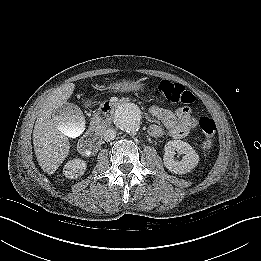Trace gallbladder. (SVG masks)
I'll list each match as a JSON object with an SVG mask.
<instances>
[{
  "mask_svg": "<svg viewBox=\"0 0 261 261\" xmlns=\"http://www.w3.org/2000/svg\"><path fill=\"white\" fill-rule=\"evenodd\" d=\"M55 127L70 138L78 137L85 129L83 112L75 105L63 103L53 114Z\"/></svg>",
  "mask_w": 261,
  "mask_h": 261,
  "instance_id": "bac80fb5",
  "label": "gallbladder"
}]
</instances>
